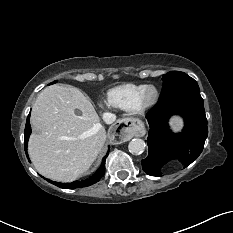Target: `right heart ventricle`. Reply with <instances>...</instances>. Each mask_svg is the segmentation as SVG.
<instances>
[{"label":"right heart ventricle","mask_w":233,"mask_h":233,"mask_svg":"<svg viewBox=\"0 0 233 233\" xmlns=\"http://www.w3.org/2000/svg\"><path fill=\"white\" fill-rule=\"evenodd\" d=\"M146 85L127 83L111 88L106 95L110 106L123 110H136L138 98Z\"/></svg>","instance_id":"obj_1"}]
</instances>
